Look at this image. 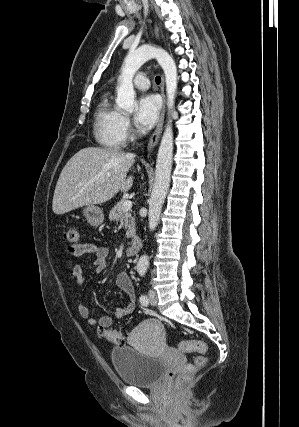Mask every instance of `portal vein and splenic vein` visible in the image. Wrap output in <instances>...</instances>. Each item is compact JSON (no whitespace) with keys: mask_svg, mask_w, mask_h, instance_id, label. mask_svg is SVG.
I'll return each mask as SVG.
<instances>
[{"mask_svg":"<svg viewBox=\"0 0 299 427\" xmlns=\"http://www.w3.org/2000/svg\"><path fill=\"white\" fill-rule=\"evenodd\" d=\"M132 207V202L130 200H125L123 203L122 210L123 211H129Z\"/></svg>","mask_w":299,"mask_h":427,"instance_id":"1","label":"portal vein and splenic vein"}]
</instances>
